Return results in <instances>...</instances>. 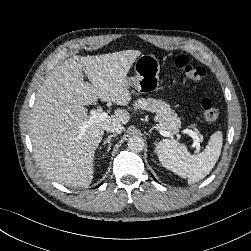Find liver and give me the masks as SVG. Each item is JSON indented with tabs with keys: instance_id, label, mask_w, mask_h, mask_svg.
I'll list each match as a JSON object with an SVG mask.
<instances>
[{
	"instance_id": "1",
	"label": "liver",
	"mask_w": 251,
	"mask_h": 251,
	"mask_svg": "<svg viewBox=\"0 0 251 251\" xmlns=\"http://www.w3.org/2000/svg\"><path fill=\"white\" fill-rule=\"evenodd\" d=\"M140 55L138 50H125L74 56L46 77L36 94L30 138L36 161L48 178L69 187L91 184L94 155L103 138L104 126L127 124L130 114L117 109L105 120L89 125L85 106L98 98L128 105L132 98L125 79ZM82 71L91 83L85 82Z\"/></svg>"
}]
</instances>
